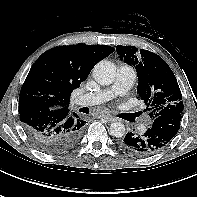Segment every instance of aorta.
Here are the masks:
<instances>
[{
    "instance_id": "1",
    "label": "aorta",
    "mask_w": 197,
    "mask_h": 197,
    "mask_svg": "<svg viewBox=\"0 0 197 197\" xmlns=\"http://www.w3.org/2000/svg\"><path fill=\"white\" fill-rule=\"evenodd\" d=\"M93 77L101 85H110L116 77V66L110 61L102 60L95 65ZM109 134L117 138L123 137L125 134L124 124L121 122L111 123Z\"/></svg>"
}]
</instances>
